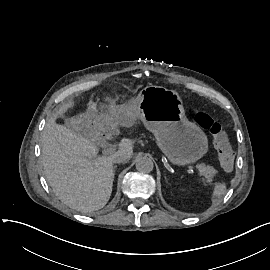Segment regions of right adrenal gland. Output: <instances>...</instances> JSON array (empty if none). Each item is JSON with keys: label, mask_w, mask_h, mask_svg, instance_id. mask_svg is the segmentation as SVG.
Here are the masks:
<instances>
[{"label": "right adrenal gland", "mask_w": 270, "mask_h": 270, "mask_svg": "<svg viewBox=\"0 0 270 270\" xmlns=\"http://www.w3.org/2000/svg\"><path fill=\"white\" fill-rule=\"evenodd\" d=\"M113 169H114V172H115L116 166H114Z\"/></svg>", "instance_id": "obj_1"}]
</instances>
